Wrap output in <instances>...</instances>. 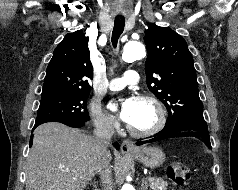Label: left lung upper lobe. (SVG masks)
Listing matches in <instances>:
<instances>
[{
  "label": "left lung upper lobe",
  "mask_w": 238,
  "mask_h": 190,
  "mask_svg": "<svg viewBox=\"0 0 238 190\" xmlns=\"http://www.w3.org/2000/svg\"><path fill=\"white\" fill-rule=\"evenodd\" d=\"M148 56L147 86L166 106L167 124L188 116H203L194 61L182 36L151 24L144 37Z\"/></svg>",
  "instance_id": "obj_1"
}]
</instances>
